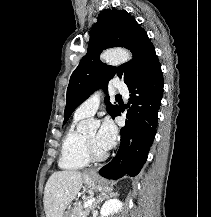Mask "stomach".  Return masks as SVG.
I'll return each mask as SVG.
<instances>
[{
	"label": "stomach",
	"mask_w": 211,
	"mask_h": 217,
	"mask_svg": "<svg viewBox=\"0 0 211 217\" xmlns=\"http://www.w3.org/2000/svg\"><path fill=\"white\" fill-rule=\"evenodd\" d=\"M83 181L88 188L99 191H110L111 187L103 183L98 175L95 172H88L84 174ZM72 209L69 206L68 209L64 212L62 217H71Z\"/></svg>",
	"instance_id": "0dacf381"
}]
</instances>
